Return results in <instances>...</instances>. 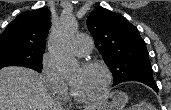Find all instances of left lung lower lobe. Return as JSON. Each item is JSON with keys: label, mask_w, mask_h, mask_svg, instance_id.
I'll return each mask as SVG.
<instances>
[{"label": "left lung lower lobe", "mask_w": 171, "mask_h": 110, "mask_svg": "<svg viewBox=\"0 0 171 110\" xmlns=\"http://www.w3.org/2000/svg\"><path fill=\"white\" fill-rule=\"evenodd\" d=\"M139 82H141V81H139ZM142 83H144V84L150 86L151 88H153V89L158 93V87H157L155 81H153V82L143 81Z\"/></svg>", "instance_id": "1"}]
</instances>
